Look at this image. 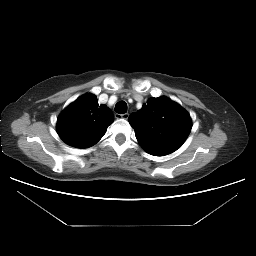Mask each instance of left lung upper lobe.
I'll return each instance as SVG.
<instances>
[{
  "mask_svg": "<svg viewBox=\"0 0 256 256\" xmlns=\"http://www.w3.org/2000/svg\"><path fill=\"white\" fill-rule=\"evenodd\" d=\"M147 103L128 119L136 138L149 154L162 156L175 151L191 131L189 115L164 97H152Z\"/></svg>",
  "mask_w": 256,
  "mask_h": 256,
  "instance_id": "obj_1",
  "label": "left lung upper lobe"
}]
</instances>
